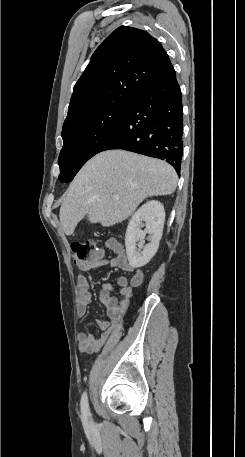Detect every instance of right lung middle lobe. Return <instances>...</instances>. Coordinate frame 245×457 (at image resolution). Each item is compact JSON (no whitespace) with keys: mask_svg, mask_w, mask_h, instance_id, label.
I'll list each match as a JSON object with an SVG mask.
<instances>
[{"mask_svg":"<svg viewBox=\"0 0 245 457\" xmlns=\"http://www.w3.org/2000/svg\"><path fill=\"white\" fill-rule=\"evenodd\" d=\"M132 101H114L64 122L59 180L71 181L79 169L101 152L123 121Z\"/></svg>","mask_w":245,"mask_h":457,"instance_id":"1","label":"right lung middle lobe"}]
</instances>
